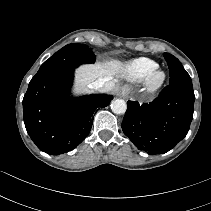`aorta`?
I'll return each mask as SVG.
<instances>
[{
    "mask_svg": "<svg viewBox=\"0 0 211 211\" xmlns=\"http://www.w3.org/2000/svg\"><path fill=\"white\" fill-rule=\"evenodd\" d=\"M127 105L122 99H115L111 102V110L115 114H124L126 112Z\"/></svg>",
    "mask_w": 211,
    "mask_h": 211,
    "instance_id": "762f6f07",
    "label": "aorta"
}]
</instances>
